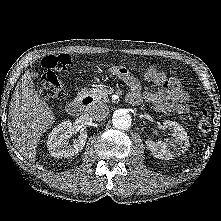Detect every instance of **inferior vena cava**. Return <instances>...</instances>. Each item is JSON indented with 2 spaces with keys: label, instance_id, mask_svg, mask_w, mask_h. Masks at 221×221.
Segmentation results:
<instances>
[{
  "label": "inferior vena cava",
  "instance_id": "602c4592",
  "mask_svg": "<svg viewBox=\"0 0 221 221\" xmlns=\"http://www.w3.org/2000/svg\"><path fill=\"white\" fill-rule=\"evenodd\" d=\"M89 114L95 121H104L108 117L109 107L106 104H96L90 108Z\"/></svg>",
  "mask_w": 221,
  "mask_h": 221
}]
</instances>
